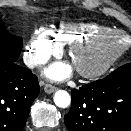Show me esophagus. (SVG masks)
Returning <instances> with one entry per match:
<instances>
[{
  "label": "esophagus",
  "instance_id": "1",
  "mask_svg": "<svg viewBox=\"0 0 131 131\" xmlns=\"http://www.w3.org/2000/svg\"><path fill=\"white\" fill-rule=\"evenodd\" d=\"M44 90H45L46 93L50 94V93H52L56 90V87L51 85V84H46L44 86Z\"/></svg>",
  "mask_w": 131,
  "mask_h": 131
}]
</instances>
